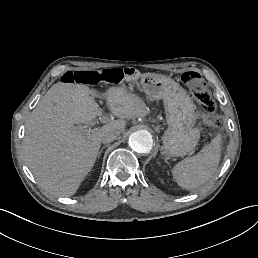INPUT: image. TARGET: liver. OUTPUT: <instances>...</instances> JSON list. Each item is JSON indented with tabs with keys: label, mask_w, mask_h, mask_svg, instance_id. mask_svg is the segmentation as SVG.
<instances>
[{
	"label": "liver",
	"mask_w": 258,
	"mask_h": 258,
	"mask_svg": "<svg viewBox=\"0 0 258 258\" xmlns=\"http://www.w3.org/2000/svg\"><path fill=\"white\" fill-rule=\"evenodd\" d=\"M145 75H150L146 73ZM96 91L85 84L58 82L38 102L25 124L23 157L39 185L50 194L69 197L92 169L106 129L123 132L126 121L149 113L146 104L124 87H110L105 96L111 113L120 118L97 131L74 124L102 115Z\"/></svg>",
	"instance_id": "1"
}]
</instances>
